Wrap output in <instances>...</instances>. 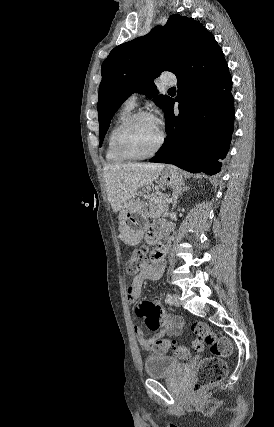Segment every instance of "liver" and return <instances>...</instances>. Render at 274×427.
<instances>
[{"mask_svg":"<svg viewBox=\"0 0 274 427\" xmlns=\"http://www.w3.org/2000/svg\"><path fill=\"white\" fill-rule=\"evenodd\" d=\"M164 164H107L104 166L107 198L113 212L130 206L132 198L143 186H150L157 180Z\"/></svg>","mask_w":274,"mask_h":427,"instance_id":"1","label":"liver"}]
</instances>
